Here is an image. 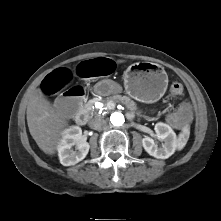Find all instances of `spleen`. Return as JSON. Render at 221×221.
<instances>
[{
  "label": "spleen",
  "instance_id": "spleen-1",
  "mask_svg": "<svg viewBox=\"0 0 221 221\" xmlns=\"http://www.w3.org/2000/svg\"><path fill=\"white\" fill-rule=\"evenodd\" d=\"M190 136V128L189 126H185L182 129V132L179 134L178 139H177V148L178 150H181L185 147L188 139Z\"/></svg>",
  "mask_w": 221,
  "mask_h": 221
}]
</instances>
